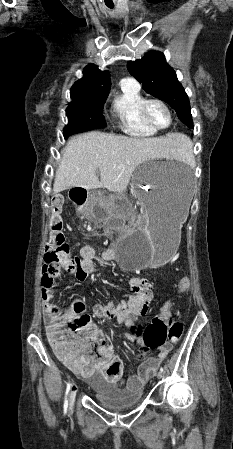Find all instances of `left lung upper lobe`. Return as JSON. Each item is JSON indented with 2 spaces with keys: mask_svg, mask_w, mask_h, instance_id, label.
<instances>
[{
  "mask_svg": "<svg viewBox=\"0 0 233 449\" xmlns=\"http://www.w3.org/2000/svg\"><path fill=\"white\" fill-rule=\"evenodd\" d=\"M127 68L147 93L168 103L185 125L194 127L188 96L163 53L150 51L140 60L128 62Z\"/></svg>",
  "mask_w": 233,
  "mask_h": 449,
  "instance_id": "obj_1",
  "label": "left lung upper lobe"
}]
</instances>
